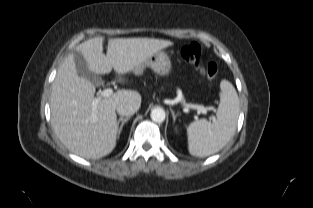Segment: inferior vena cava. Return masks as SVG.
<instances>
[{"instance_id": "obj_1", "label": "inferior vena cava", "mask_w": 313, "mask_h": 208, "mask_svg": "<svg viewBox=\"0 0 313 208\" xmlns=\"http://www.w3.org/2000/svg\"><path fill=\"white\" fill-rule=\"evenodd\" d=\"M116 111L121 116L130 117L137 111V108L133 104L126 102L118 104Z\"/></svg>"}]
</instances>
